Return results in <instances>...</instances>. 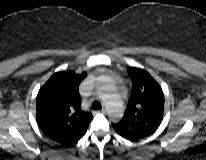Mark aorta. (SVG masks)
Here are the masks:
<instances>
[{"label":"aorta","instance_id":"762f6f07","mask_svg":"<svg viewBox=\"0 0 206 160\" xmlns=\"http://www.w3.org/2000/svg\"><path fill=\"white\" fill-rule=\"evenodd\" d=\"M107 113L113 121H117L122 118L124 107L121 99L116 93H112L110 96L104 99Z\"/></svg>","mask_w":206,"mask_h":160}]
</instances>
